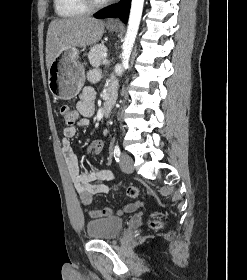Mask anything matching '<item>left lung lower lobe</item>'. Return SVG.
<instances>
[{"mask_svg": "<svg viewBox=\"0 0 247 280\" xmlns=\"http://www.w3.org/2000/svg\"><path fill=\"white\" fill-rule=\"evenodd\" d=\"M131 0H121L102 12L95 15L96 18L119 17L122 21L127 22Z\"/></svg>", "mask_w": 247, "mask_h": 280, "instance_id": "1", "label": "left lung lower lobe"}]
</instances>
